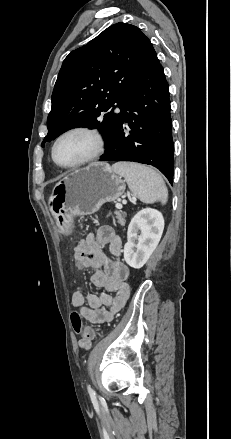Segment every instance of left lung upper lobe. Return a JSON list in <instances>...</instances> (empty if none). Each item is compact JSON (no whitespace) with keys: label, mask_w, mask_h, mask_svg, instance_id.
Returning <instances> with one entry per match:
<instances>
[{"label":"left lung upper lobe","mask_w":231,"mask_h":439,"mask_svg":"<svg viewBox=\"0 0 231 439\" xmlns=\"http://www.w3.org/2000/svg\"><path fill=\"white\" fill-rule=\"evenodd\" d=\"M152 50L139 28L119 22L72 51L54 86L42 146L75 127L98 128L107 143L118 118L114 104L121 108Z\"/></svg>","instance_id":"left-lung-upper-lobe-1"}]
</instances>
